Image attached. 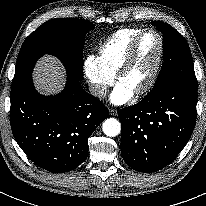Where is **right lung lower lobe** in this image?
I'll return each mask as SVG.
<instances>
[{"instance_id":"1","label":"right lung lower lobe","mask_w":206,"mask_h":206,"mask_svg":"<svg viewBox=\"0 0 206 206\" xmlns=\"http://www.w3.org/2000/svg\"><path fill=\"white\" fill-rule=\"evenodd\" d=\"M10 102L18 145L37 166L53 173L71 171L86 159L88 138L109 116L104 104L70 75L55 96L40 95L30 76L11 89Z\"/></svg>"}]
</instances>
